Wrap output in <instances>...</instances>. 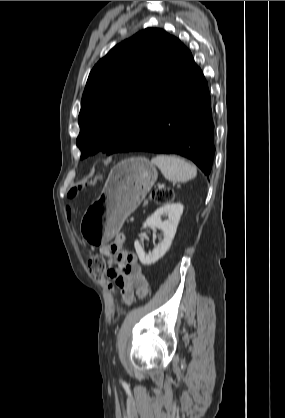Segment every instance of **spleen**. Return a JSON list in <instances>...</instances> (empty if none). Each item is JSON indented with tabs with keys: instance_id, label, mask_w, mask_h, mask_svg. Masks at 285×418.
Returning <instances> with one entry per match:
<instances>
[{
	"instance_id": "3e777b00",
	"label": "spleen",
	"mask_w": 285,
	"mask_h": 418,
	"mask_svg": "<svg viewBox=\"0 0 285 418\" xmlns=\"http://www.w3.org/2000/svg\"><path fill=\"white\" fill-rule=\"evenodd\" d=\"M151 163L156 165L164 177L173 182H186L197 175L196 167L174 155H157Z\"/></svg>"
}]
</instances>
